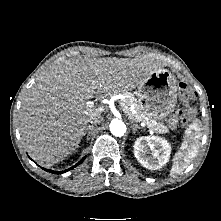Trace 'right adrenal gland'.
Segmentation results:
<instances>
[{
    "instance_id": "obj_1",
    "label": "right adrenal gland",
    "mask_w": 221,
    "mask_h": 221,
    "mask_svg": "<svg viewBox=\"0 0 221 221\" xmlns=\"http://www.w3.org/2000/svg\"><path fill=\"white\" fill-rule=\"evenodd\" d=\"M91 127H92V126H88V127H87V130H86V132H85V134H87V140H86V142H88V141L90 140V138H89V136H90L89 130L91 129Z\"/></svg>"
}]
</instances>
